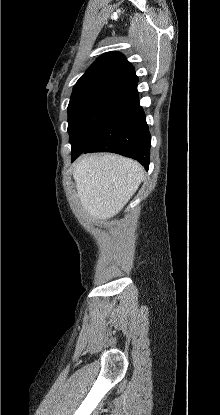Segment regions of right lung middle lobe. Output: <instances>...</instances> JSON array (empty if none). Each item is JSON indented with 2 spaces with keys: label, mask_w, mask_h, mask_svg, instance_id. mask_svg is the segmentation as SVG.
<instances>
[{
  "label": "right lung middle lobe",
  "mask_w": 220,
  "mask_h": 415,
  "mask_svg": "<svg viewBox=\"0 0 220 415\" xmlns=\"http://www.w3.org/2000/svg\"><path fill=\"white\" fill-rule=\"evenodd\" d=\"M137 94V87L112 78L76 84L68 106L72 149L85 148L112 114Z\"/></svg>",
  "instance_id": "dd1d6c3e"
}]
</instances>
